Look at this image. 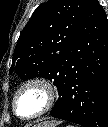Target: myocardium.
Returning <instances> with one entry per match:
<instances>
[{
	"instance_id": "f54148a6",
	"label": "myocardium",
	"mask_w": 108,
	"mask_h": 127,
	"mask_svg": "<svg viewBox=\"0 0 108 127\" xmlns=\"http://www.w3.org/2000/svg\"><path fill=\"white\" fill-rule=\"evenodd\" d=\"M31 88L39 89L43 93L44 102L41 108L35 113L30 114V115H22L18 112L17 101H18L19 96L24 91L31 89ZM57 95H58L57 88L49 79L42 77V76L33 77V78H30L24 81L17 88L12 98V108L15 114L21 119H24V120L35 119L45 114L53 107L57 99Z\"/></svg>"
}]
</instances>
